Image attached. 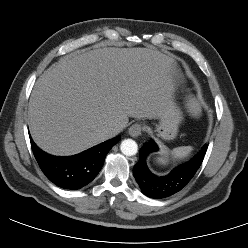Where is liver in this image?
Segmentation results:
<instances>
[{
  "label": "liver",
  "mask_w": 248,
  "mask_h": 248,
  "mask_svg": "<svg viewBox=\"0 0 248 248\" xmlns=\"http://www.w3.org/2000/svg\"><path fill=\"white\" fill-rule=\"evenodd\" d=\"M176 65L148 48H102L66 55L37 80L28 116L35 143L72 155L127 127L129 117L160 118L173 104Z\"/></svg>",
  "instance_id": "obj_1"
}]
</instances>
